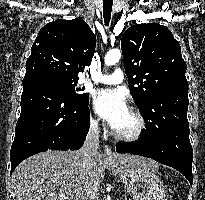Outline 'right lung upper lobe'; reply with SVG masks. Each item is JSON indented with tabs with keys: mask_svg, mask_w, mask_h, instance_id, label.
<instances>
[{
	"mask_svg": "<svg viewBox=\"0 0 205 200\" xmlns=\"http://www.w3.org/2000/svg\"><path fill=\"white\" fill-rule=\"evenodd\" d=\"M95 46L96 37L81 17L50 22L32 45L23 80L45 74L78 80V73L90 65Z\"/></svg>",
	"mask_w": 205,
	"mask_h": 200,
	"instance_id": "right-lung-upper-lobe-1",
	"label": "right lung upper lobe"
}]
</instances>
